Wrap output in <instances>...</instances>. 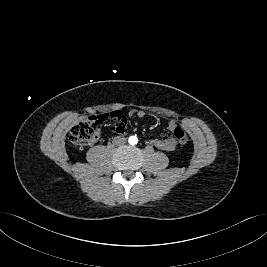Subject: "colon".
<instances>
[{"label":"colon","instance_id":"colon-1","mask_svg":"<svg viewBox=\"0 0 267 267\" xmlns=\"http://www.w3.org/2000/svg\"><path fill=\"white\" fill-rule=\"evenodd\" d=\"M107 118L106 114H101L82 119L70 128L67 134L69 142L76 147L93 142L98 138L101 125ZM172 133L181 146H186L189 143V136L181 127H174Z\"/></svg>","mask_w":267,"mask_h":267}]
</instances>
